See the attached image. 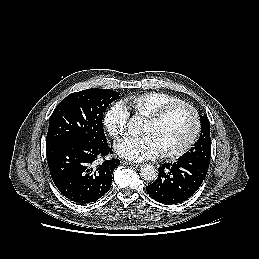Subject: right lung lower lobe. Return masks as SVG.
I'll return each mask as SVG.
<instances>
[{
  "label": "right lung lower lobe",
  "mask_w": 259,
  "mask_h": 259,
  "mask_svg": "<svg viewBox=\"0 0 259 259\" xmlns=\"http://www.w3.org/2000/svg\"><path fill=\"white\" fill-rule=\"evenodd\" d=\"M112 150L107 142L93 144L81 140L60 142L46 149L48 167L58 190L66 198L79 204L94 202L111 187L112 172L120 165L118 159H97Z\"/></svg>",
  "instance_id": "right-lung-lower-lobe-1"
}]
</instances>
